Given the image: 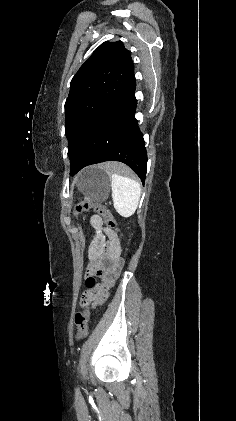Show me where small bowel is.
Instances as JSON below:
<instances>
[{"label":"small bowel","instance_id":"obj_1","mask_svg":"<svg viewBox=\"0 0 236 421\" xmlns=\"http://www.w3.org/2000/svg\"><path fill=\"white\" fill-rule=\"evenodd\" d=\"M90 223L95 230V241L89 250V259L95 260L101 251L116 250L119 251V241L117 235L109 228L103 225L99 215H93ZM106 238L108 241L106 242Z\"/></svg>","mask_w":236,"mask_h":421}]
</instances>
